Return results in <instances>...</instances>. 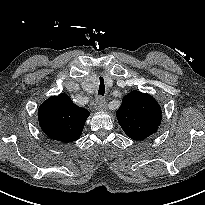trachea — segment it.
I'll list each match as a JSON object with an SVG mask.
<instances>
[{"label": "trachea", "mask_w": 205, "mask_h": 205, "mask_svg": "<svg viewBox=\"0 0 205 205\" xmlns=\"http://www.w3.org/2000/svg\"><path fill=\"white\" fill-rule=\"evenodd\" d=\"M105 93V84H104V79L100 77L99 79V84H98V95H104Z\"/></svg>", "instance_id": "obj_1"}]
</instances>
